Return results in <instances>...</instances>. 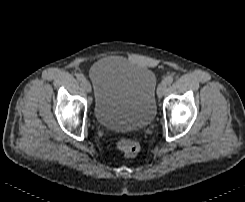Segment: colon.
Wrapping results in <instances>:
<instances>
[{
    "label": "colon",
    "instance_id": "colon-1",
    "mask_svg": "<svg viewBox=\"0 0 245 202\" xmlns=\"http://www.w3.org/2000/svg\"><path fill=\"white\" fill-rule=\"evenodd\" d=\"M118 149L122 152L125 157H135L140 151V145L137 141L132 139L120 140L117 144Z\"/></svg>",
    "mask_w": 245,
    "mask_h": 202
}]
</instances>
